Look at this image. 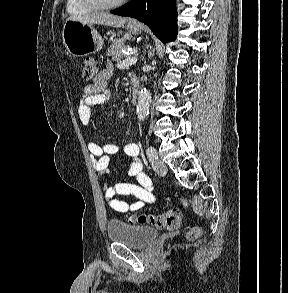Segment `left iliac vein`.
I'll return each instance as SVG.
<instances>
[{
  "mask_svg": "<svg viewBox=\"0 0 288 293\" xmlns=\"http://www.w3.org/2000/svg\"><path fill=\"white\" fill-rule=\"evenodd\" d=\"M154 167H155L157 174H159L161 176H165L167 174L168 168L163 161L157 160L154 164Z\"/></svg>",
  "mask_w": 288,
  "mask_h": 293,
  "instance_id": "left-iliac-vein-1",
  "label": "left iliac vein"
}]
</instances>
